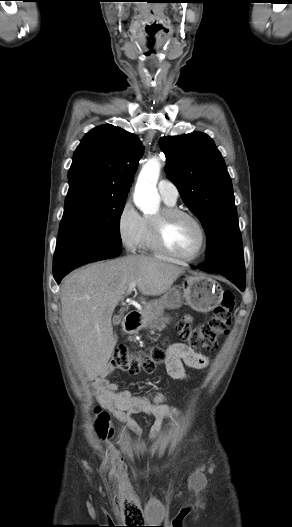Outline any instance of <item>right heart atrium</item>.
<instances>
[{"mask_svg": "<svg viewBox=\"0 0 292 527\" xmlns=\"http://www.w3.org/2000/svg\"><path fill=\"white\" fill-rule=\"evenodd\" d=\"M143 217L134 207L130 199L122 204L116 220V230L121 244L128 251H134L138 247Z\"/></svg>", "mask_w": 292, "mask_h": 527, "instance_id": "right-heart-atrium-1", "label": "right heart atrium"}]
</instances>
